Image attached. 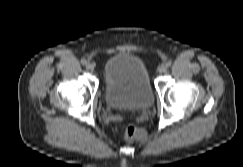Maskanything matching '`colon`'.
<instances>
[{
  "label": "colon",
  "mask_w": 243,
  "mask_h": 167,
  "mask_svg": "<svg viewBox=\"0 0 243 167\" xmlns=\"http://www.w3.org/2000/svg\"><path fill=\"white\" fill-rule=\"evenodd\" d=\"M124 134H125V138L128 141L141 140L146 135L145 131L142 128L134 124L126 125L124 128Z\"/></svg>",
  "instance_id": "colon-1"
}]
</instances>
